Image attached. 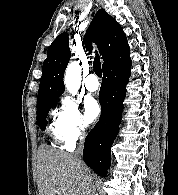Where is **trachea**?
Segmentation results:
<instances>
[{"label": "trachea", "mask_w": 178, "mask_h": 195, "mask_svg": "<svg viewBox=\"0 0 178 195\" xmlns=\"http://www.w3.org/2000/svg\"><path fill=\"white\" fill-rule=\"evenodd\" d=\"M93 68L98 77H101L102 74V68H101V62L98 53L96 52V56L93 62Z\"/></svg>", "instance_id": "obj_1"}]
</instances>
